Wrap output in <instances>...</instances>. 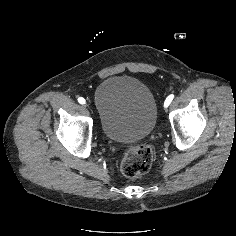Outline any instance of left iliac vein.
<instances>
[{
  "label": "left iliac vein",
  "mask_w": 236,
  "mask_h": 236,
  "mask_svg": "<svg viewBox=\"0 0 236 236\" xmlns=\"http://www.w3.org/2000/svg\"><path fill=\"white\" fill-rule=\"evenodd\" d=\"M162 113H163V115H168V113H169V108H168V105L167 104H164L163 105V109H162Z\"/></svg>",
  "instance_id": "left-iliac-vein-1"
}]
</instances>
